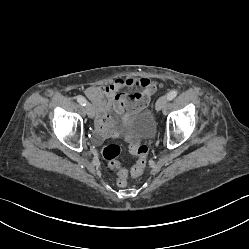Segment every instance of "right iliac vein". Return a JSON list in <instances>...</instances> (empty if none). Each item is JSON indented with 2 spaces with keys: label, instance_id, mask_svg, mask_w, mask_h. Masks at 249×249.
I'll use <instances>...</instances> for the list:
<instances>
[{
  "label": "right iliac vein",
  "instance_id": "right-iliac-vein-1",
  "mask_svg": "<svg viewBox=\"0 0 249 249\" xmlns=\"http://www.w3.org/2000/svg\"><path fill=\"white\" fill-rule=\"evenodd\" d=\"M85 110H86V113H87L88 117H90V118L94 117L95 111H94L93 106L90 103L86 104Z\"/></svg>",
  "mask_w": 249,
  "mask_h": 249
}]
</instances>
